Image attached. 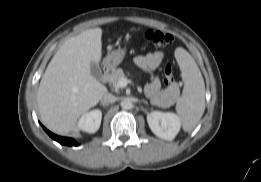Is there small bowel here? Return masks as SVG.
Instances as JSON below:
<instances>
[{
    "label": "small bowel",
    "instance_id": "1",
    "mask_svg": "<svg viewBox=\"0 0 261 182\" xmlns=\"http://www.w3.org/2000/svg\"><path fill=\"white\" fill-rule=\"evenodd\" d=\"M164 58V52L155 51L145 55L136 56L134 62L138 68L146 73H150L162 63ZM160 86V81L156 77H151L149 83L145 86V95L148 98L156 97L160 90Z\"/></svg>",
    "mask_w": 261,
    "mask_h": 182
}]
</instances>
